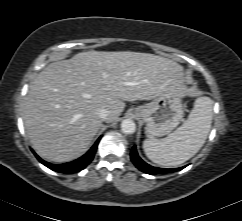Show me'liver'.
Masks as SVG:
<instances>
[{
  "label": "liver",
  "mask_w": 242,
  "mask_h": 221,
  "mask_svg": "<svg viewBox=\"0 0 242 221\" xmlns=\"http://www.w3.org/2000/svg\"><path fill=\"white\" fill-rule=\"evenodd\" d=\"M183 66L131 51H86L50 63L33 80L24 102L26 135L37 154L63 163L82 156L102 126L118 119L124 101L152 100L164 94L183 96Z\"/></svg>",
  "instance_id": "obj_1"
}]
</instances>
